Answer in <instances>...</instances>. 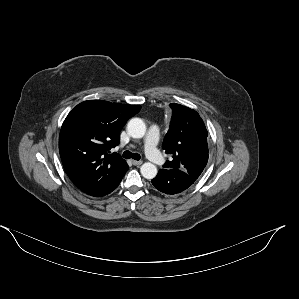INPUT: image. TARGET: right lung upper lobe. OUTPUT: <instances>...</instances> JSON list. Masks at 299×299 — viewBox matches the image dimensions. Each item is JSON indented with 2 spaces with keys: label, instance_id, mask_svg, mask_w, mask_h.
Masks as SVG:
<instances>
[{
  "label": "right lung upper lobe",
  "instance_id": "right-lung-upper-lobe-1",
  "mask_svg": "<svg viewBox=\"0 0 299 299\" xmlns=\"http://www.w3.org/2000/svg\"><path fill=\"white\" fill-rule=\"evenodd\" d=\"M141 106L88 100L78 104L64 120L59 136V152L71 181L91 196L108 194L121 177L127 163L117 153L119 132Z\"/></svg>",
  "mask_w": 299,
  "mask_h": 299
}]
</instances>
